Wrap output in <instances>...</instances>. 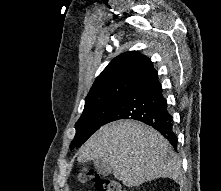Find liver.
I'll list each match as a JSON object with an SVG mask.
<instances>
[{
  "instance_id": "1",
  "label": "liver",
  "mask_w": 221,
  "mask_h": 191,
  "mask_svg": "<svg viewBox=\"0 0 221 191\" xmlns=\"http://www.w3.org/2000/svg\"><path fill=\"white\" fill-rule=\"evenodd\" d=\"M101 159L127 187L156 178L182 180L181 161L155 129L135 120L102 126L81 147L78 162Z\"/></svg>"
}]
</instances>
